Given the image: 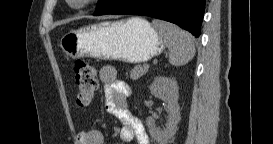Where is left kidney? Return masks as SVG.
<instances>
[{
    "instance_id": "5707ae66",
    "label": "left kidney",
    "mask_w": 273,
    "mask_h": 144,
    "mask_svg": "<svg viewBox=\"0 0 273 144\" xmlns=\"http://www.w3.org/2000/svg\"><path fill=\"white\" fill-rule=\"evenodd\" d=\"M178 89L177 81L165 76L156 77L150 86L151 94L167 104L168 120L165 129L156 127L153 117L146 119L151 137L159 144H167L177 131V125L181 119Z\"/></svg>"
}]
</instances>
